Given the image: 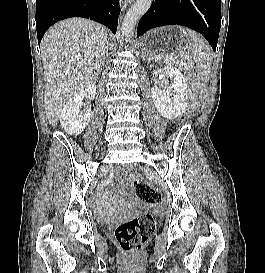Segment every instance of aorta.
Instances as JSON below:
<instances>
[{"label":"aorta","instance_id":"762f6f07","mask_svg":"<svg viewBox=\"0 0 265 273\" xmlns=\"http://www.w3.org/2000/svg\"><path fill=\"white\" fill-rule=\"evenodd\" d=\"M152 0H136V3L126 13L122 26V36L129 38L133 35L137 21L149 10Z\"/></svg>","mask_w":265,"mask_h":273}]
</instances>
